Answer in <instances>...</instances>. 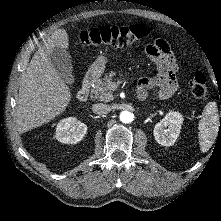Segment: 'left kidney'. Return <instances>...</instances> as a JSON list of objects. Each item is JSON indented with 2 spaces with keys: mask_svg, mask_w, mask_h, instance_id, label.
<instances>
[{
  "mask_svg": "<svg viewBox=\"0 0 221 221\" xmlns=\"http://www.w3.org/2000/svg\"><path fill=\"white\" fill-rule=\"evenodd\" d=\"M182 123V114L176 111H170L160 122L155 125V140L160 145L172 146L180 134ZM167 127L168 129H166Z\"/></svg>",
  "mask_w": 221,
  "mask_h": 221,
  "instance_id": "obj_1",
  "label": "left kidney"
}]
</instances>
